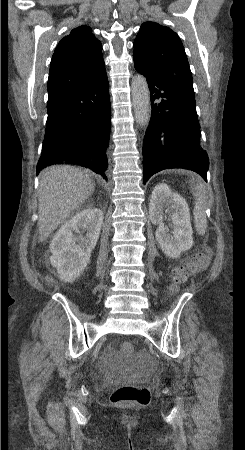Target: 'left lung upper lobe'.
<instances>
[{"instance_id": "5c2ea615", "label": "left lung upper lobe", "mask_w": 245, "mask_h": 450, "mask_svg": "<svg viewBox=\"0 0 245 450\" xmlns=\"http://www.w3.org/2000/svg\"><path fill=\"white\" fill-rule=\"evenodd\" d=\"M135 68L166 79L171 86L195 103L192 74L178 35L154 22L141 25L134 41Z\"/></svg>"}]
</instances>
